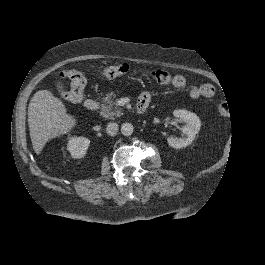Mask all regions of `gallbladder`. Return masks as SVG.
Wrapping results in <instances>:
<instances>
[{
  "mask_svg": "<svg viewBox=\"0 0 265 265\" xmlns=\"http://www.w3.org/2000/svg\"><path fill=\"white\" fill-rule=\"evenodd\" d=\"M54 89L56 90L57 93L62 94L65 97H68L67 87L62 80L55 81Z\"/></svg>",
  "mask_w": 265,
  "mask_h": 265,
  "instance_id": "gallbladder-1",
  "label": "gallbladder"
}]
</instances>
